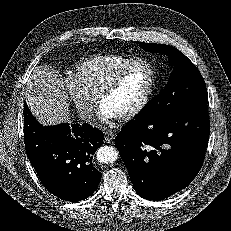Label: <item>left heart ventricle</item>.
<instances>
[{"label":"left heart ventricle","mask_w":231,"mask_h":231,"mask_svg":"<svg viewBox=\"0 0 231 231\" xmlns=\"http://www.w3.org/2000/svg\"><path fill=\"white\" fill-rule=\"evenodd\" d=\"M151 81V71L141 64L130 70L120 85L103 101L117 117L131 110L144 96Z\"/></svg>","instance_id":"1"}]
</instances>
